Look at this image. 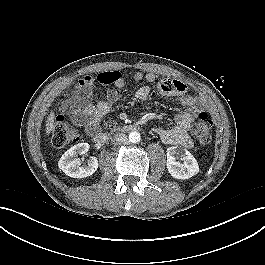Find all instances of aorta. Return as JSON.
I'll list each match as a JSON object with an SVG mask.
<instances>
[{
    "instance_id": "aorta-1",
    "label": "aorta",
    "mask_w": 265,
    "mask_h": 265,
    "mask_svg": "<svg viewBox=\"0 0 265 265\" xmlns=\"http://www.w3.org/2000/svg\"><path fill=\"white\" fill-rule=\"evenodd\" d=\"M128 138H129V141L131 143H138L140 141V139H141V136H140V133L139 132L132 131V132H130Z\"/></svg>"
}]
</instances>
